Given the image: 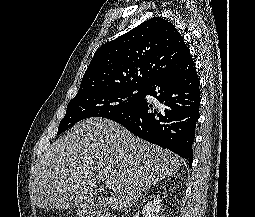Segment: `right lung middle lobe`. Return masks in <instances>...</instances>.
<instances>
[{
    "mask_svg": "<svg viewBox=\"0 0 255 217\" xmlns=\"http://www.w3.org/2000/svg\"><path fill=\"white\" fill-rule=\"evenodd\" d=\"M145 91L146 87L117 86L78 92L68 103L57 134L86 118H108L125 112L143 99Z\"/></svg>",
    "mask_w": 255,
    "mask_h": 217,
    "instance_id": "right-lung-middle-lobe-1",
    "label": "right lung middle lobe"
}]
</instances>
